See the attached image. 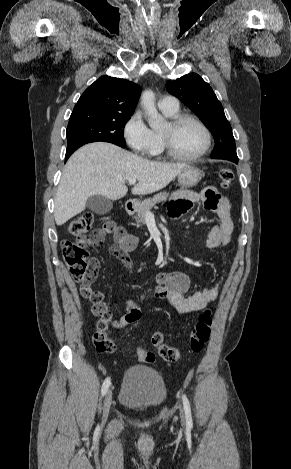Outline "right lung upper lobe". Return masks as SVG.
Returning <instances> with one entry per match:
<instances>
[{"mask_svg": "<svg viewBox=\"0 0 291 469\" xmlns=\"http://www.w3.org/2000/svg\"><path fill=\"white\" fill-rule=\"evenodd\" d=\"M140 92L133 82L104 75L84 91L72 113L132 115Z\"/></svg>", "mask_w": 291, "mask_h": 469, "instance_id": "1", "label": "right lung upper lobe"}]
</instances>
